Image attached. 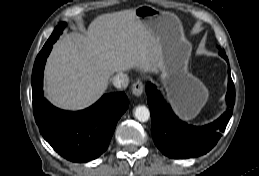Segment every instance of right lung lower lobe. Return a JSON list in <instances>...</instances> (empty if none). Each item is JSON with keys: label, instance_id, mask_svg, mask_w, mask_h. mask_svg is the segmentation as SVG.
I'll list each match as a JSON object with an SVG mask.
<instances>
[{"label": "right lung lower lobe", "instance_id": "right-lung-lower-lobe-1", "mask_svg": "<svg viewBox=\"0 0 259 176\" xmlns=\"http://www.w3.org/2000/svg\"><path fill=\"white\" fill-rule=\"evenodd\" d=\"M59 35L47 40L35 60L32 71L33 112L40 133L57 153L72 162H87L98 158L107 149L129 101L125 93L120 92L105 94L91 107L77 112L51 105L43 96V70Z\"/></svg>", "mask_w": 259, "mask_h": 176}]
</instances>
